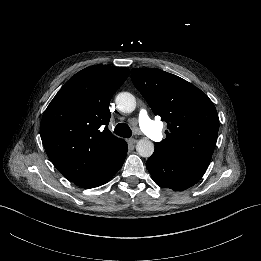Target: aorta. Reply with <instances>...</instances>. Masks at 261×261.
Wrapping results in <instances>:
<instances>
[{
    "instance_id": "762f6f07",
    "label": "aorta",
    "mask_w": 261,
    "mask_h": 261,
    "mask_svg": "<svg viewBox=\"0 0 261 261\" xmlns=\"http://www.w3.org/2000/svg\"><path fill=\"white\" fill-rule=\"evenodd\" d=\"M115 103L118 110L128 113L135 109V97L129 92H120ZM136 150L141 157L149 158L154 153V145L150 140H140L136 146Z\"/></svg>"
}]
</instances>
